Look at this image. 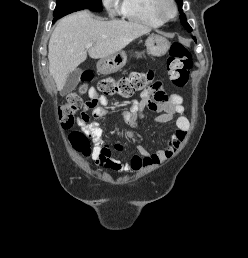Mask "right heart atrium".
I'll use <instances>...</instances> for the list:
<instances>
[{
    "instance_id": "d8ad5b80",
    "label": "right heart atrium",
    "mask_w": 248,
    "mask_h": 258,
    "mask_svg": "<svg viewBox=\"0 0 248 258\" xmlns=\"http://www.w3.org/2000/svg\"><path fill=\"white\" fill-rule=\"evenodd\" d=\"M102 3L110 15L120 12V0H102Z\"/></svg>"
}]
</instances>
